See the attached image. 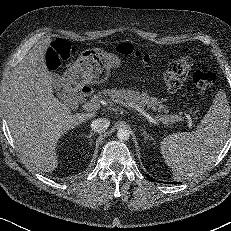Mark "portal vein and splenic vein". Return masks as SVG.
I'll list each match as a JSON object with an SVG mask.
<instances>
[{
    "instance_id": "portal-vein-and-splenic-vein-1",
    "label": "portal vein and splenic vein",
    "mask_w": 231,
    "mask_h": 231,
    "mask_svg": "<svg viewBox=\"0 0 231 231\" xmlns=\"http://www.w3.org/2000/svg\"><path fill=\"white\" fill-rule=\"evenodd\" d=\"M83 109L87 110V111H94L97 110L100 107V103L94 100L88 101L85 104H83ZM136 108V110H138L139 112H141L143 115H145L151 122L153 123H159L162 122L163 124H167V120L164 118H153L151 116H149V114L145 113L141 108L139 107H134ZM178 122V121H184V118L182 116H173L170 119V122Z\"/></svg>"
}]
</instances>
